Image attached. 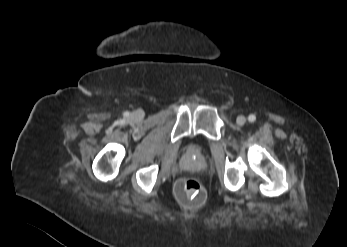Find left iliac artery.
<instances>
[{"mask_svg":"<svg viewBox=\"0 0 347 247\" xmlns=\"http://www.w3.org/2000/svg\"><path fill=\"white\" fill-rule=\"evenodd\" d=\"M248 120H249V122L253 123L256 120V116L251 114L248 116Z\"/></svg>","mask_w":347,"mask_h":247,"instance_id":"1","label":"left iliac artery"}]
</instances>
